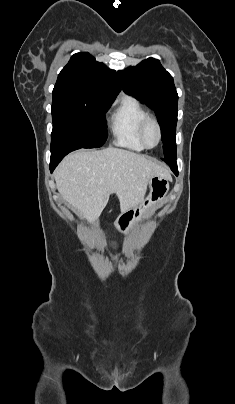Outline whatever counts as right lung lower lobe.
I'll list each match as a JSON object with an SVG mask.
<instances>
[{"label":"right lung lower lobe","instance_id":"1","mask_svg":"<svg viewBox=\"0 0 235 404\" xmlns=\"http://www.w3.org/2000/svg\"><path fill=\"white\" fill-rule=\"evenodd\" d=\"M76 147H69V148H58L51 150V159H50V171L51 173L56 168L58 163L70 152L76 150Z\"/></svg>","mask_w":235,"mask_h":404}]
</instances>
